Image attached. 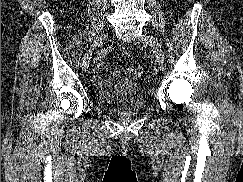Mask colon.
Segmentation results:
<instances>
[{
	"mask_svg": "<svg viewBox=\"0 0 243 182\" xmlns=\"http://www.w3.org/2000/svg\"><path fill=\"white\" fill-rule=\"evenodd\" d=\"M127 73L129 75V77H131L133 79H137L142 76L143 70L139 66H132V67L128 68Z\"/></svg>",
	"mask_w": 243,
	"mask_h": 182,
	"instance_id": "obj_1",
	"label": "colon"
}]
</instances>
